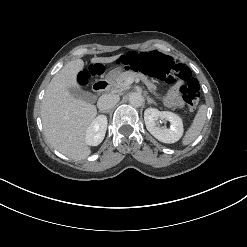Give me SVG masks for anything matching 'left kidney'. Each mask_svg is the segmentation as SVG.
I'll list each match as a JSON object with an SVG mask.
<instances>
[{
    "label": "left kidney",
    "mask_w": 247,
    "mask_h": 247,
    "mask_svg": "<svg viewBox=\"0 0 247 247\" xmlns=\"http://www.w3.org/2000/svg\"><path fill=\"white\" fill-rule=\"evenodd\" d=\"M165 119L170 122L169 128L157 127V120ZM144 121L147 130L159 141L163 143H175L183 135L182 119L173 112L159 111L156 108H148L144 112Z\"/></svg>",
    "instance_id": "obj_1"
}]
</instances>
